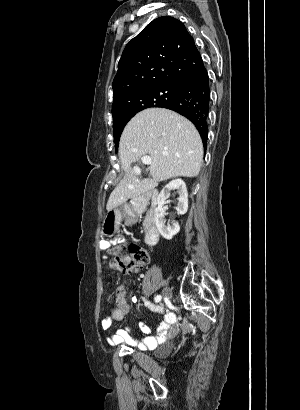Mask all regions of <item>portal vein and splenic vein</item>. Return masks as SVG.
I'll use <instances>...</instances> for the list:
<instances>
[{"mask_svg":"<svg viewBox=\"0 0 300 410\" xmlns=\"http://www.w3.org/2000/svg\"><path fill=\"white\" fill-rule=\"evenodd\" d=\"M141 161H142V163L143 164H146V165H150L151 164V158L149 157V156H144V157H142L141 158ZM135 171L138 173V172H140V169L139 168H135Z\"/></svg>","mask_w":300,"mask_h":410,"instance_id":"obj_1","label":"portal vein and splenic vein"}]
</instances>
